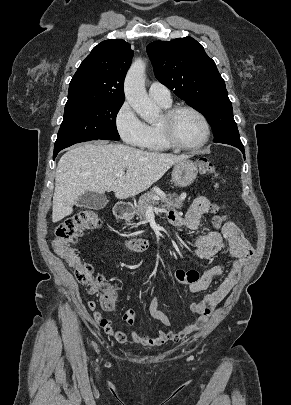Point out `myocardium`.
Instances as JSON below:
<instances>
[{"label": "myocardium", "instance_id": "f54148a6", "mask_svg": "<svg viewBox=\"0 0 291 405\" xmlns=\"http://www.w3.org/2000/svg\"><path fill=\"white\" fill-rule=\"evenodd\" d=\"M182 111H190L196 114L202 121L205 129V135L203 140L197 145H184L179 142L175 136L174 132V123L175 119L179 113ZM159 128L162 134L164 141L168 146L174 149L183 150V151H196L203 148L210 140L211 137V126L210 123L203 112L191 105H177L170 107L165 110L162 115L161 120L159 121Z\"/></svg>", "mask_w": 291, "mask_h": 405}]
</instances>
